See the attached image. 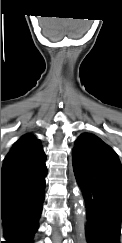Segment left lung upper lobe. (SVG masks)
Wrapping results in <instances>:
<instances>
[{"mask_svg":"<svg viewBox=\"0 0 122 243\" xmlns=\"http://www.w3.org/2000/svg\"><path fill=\"white\" fill-rule=\"evenodd\" d=\"M73 149V167L77 160L84 156H91L100 153L103 148L109 147L100 138L93 134L84 133L75 142Z\"/></svg>","mask_w":122,"mask_h":243,"instance_id":"1","label":"left lung upper lobe"}]
</instances>
